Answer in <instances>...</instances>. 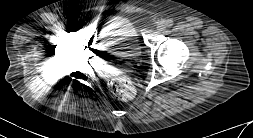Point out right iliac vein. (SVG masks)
I'll use <instances>...</instances> for the list:
<instances>
[{
	"mask_svg": "<svg viewBox=\"0 0 253 138\" xmlns=\"http://www.w3.org/2000/svg\"><path fill=\"white\" fill-rule=\"evenodd\" d=\"M71 28H72L73 30H76V29L78 28V25H77L76 23H73V24L71 25Z\"/></svg>",
	"mask_w": 253,
	"mask_h": 138,
	"instance_id": "right-iliac-vein-1",
	"label": "right iliac vein"
}]
</instances>
